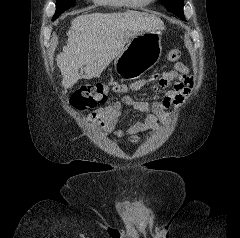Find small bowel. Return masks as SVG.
Wrapping results in <instances>:
<instances>
[{"instance_id": "small-bowel-1", "label": "small bowel", "mask_w": 240, "mask_h": 238, "mask_svg": "<svg viewBox=\"0 0 240 238\" xmlns=\"http://www.w3.org/2000/svg\"><path fill=\"white\" fill-rule=\"evenodd\" d=\"M173 81H176L173 89L167 91L159 101L145 102L125 96L121 101L97 109L92 113V118L104 121L107 129L115 135L126 137L130 142L137 143L139 142V133L149 131L153 134L157 131L160 123L167 122V109L171 106L180 107L183 104L193 87V79L187 66L178 62L174 64L172 69L162 72L159 77L152 76L147 79L137 80L130 85L119 82L114 84L113 92L125 93L138 91L154 82H157L159 88H166ZM123 105L132 106L136 111L147 114L145 120L134 124L127 130H115Z\"/></svg>"}]
</instances>
